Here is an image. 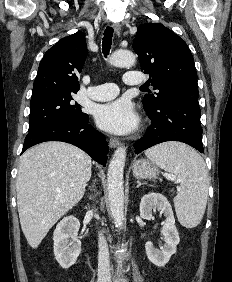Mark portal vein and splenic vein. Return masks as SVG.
<instances>
[{
  "instance_id": "obj_1",
  "label": "portal vein and splenic vein",
  "mask_w": 232,
  "mask_h": 282,
  "mask_svg": "<svg viewBox=\"0 0 232 282\" xmlns=\"http://www.w3.org/2000/svg\"><path fill=\"white\" fill-rule=\"evenodd\" d=\"M169 178H170V179H172V180H174V179H175V177H174V176H172V175H169Z\"/></svg>"
}]
</instances>
